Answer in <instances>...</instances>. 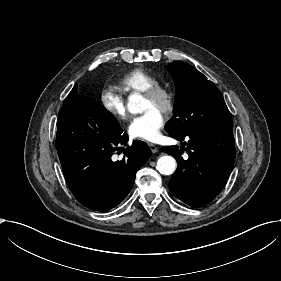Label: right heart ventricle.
Here are the masks:
<instances>
[{"label": "right heart ventricle", "instance_id": "1", "mask_svg": "<svg viewBox=\"0 0 281 281\" xmlns=\"http://www.w3.org/2000/svg\"><path fill=\"white\" fill-rule=\"evenodd\" d=\"M157 85V79L142 67L130 70L118 81L119 89L125 94L145 93Z\"/></svg>", "mask_w": 281, "mask_h": 281}]
</instances>
